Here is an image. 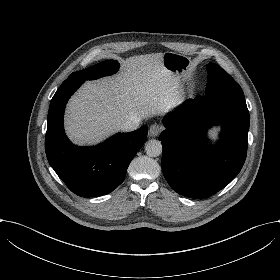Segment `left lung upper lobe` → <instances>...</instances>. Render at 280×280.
Here are the masks:
<instances>
[{
	"mask_svg": "<svg viewBox=\"0 0 280 280\" xmlns=\"http://www.w3.org/2000/svg\"><path fill=\"white\" fill-rule=\"evenodd\" d=\"M208 82L206 94L212 91L237 84L234 79L224 71L219 65L209 63L207 65Z\"/></svg>",
	"mask_w": 280,
	"mask_h": 280,
	"instance_id": "5c2ea615",
	"label": "left lung upper lobe"
}]
</instances>
